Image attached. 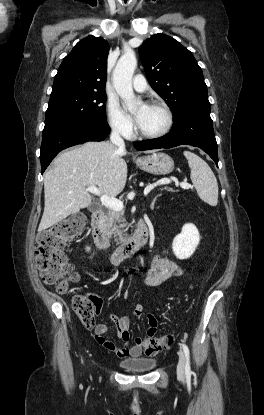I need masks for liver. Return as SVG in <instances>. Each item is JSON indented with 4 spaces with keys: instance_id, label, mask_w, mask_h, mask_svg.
<instances>
[{
    "instance_id": "1",
    "label": "liver",
    "mask_w": 264,
    "mask_h": 415,
    "mask_svg": "<svg viewBox=\"0 0 264 415\" xmlns=\"http://www.w3.org/2000/svg\"><path fill=\"white\" fill-rule=\"evenodd\" d=\"M153 153L152 151H146ZM109 142H87L60 153L53 168L44 174L45 206L38 231L41 232L91 204L89 186L115 197L127 180V164Z\"/></svg>"
}]
</instances>
